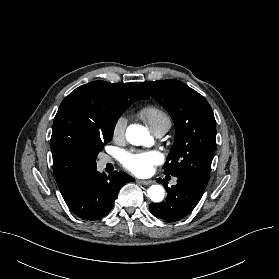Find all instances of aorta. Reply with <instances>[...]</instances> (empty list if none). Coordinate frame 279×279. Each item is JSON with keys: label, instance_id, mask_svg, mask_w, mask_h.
<instances>
[{"label": "aorta", "instance_id": "aorta-1", "mask_svg": "<svg viewBox=\"0 0 279 279\" xmlns=\"http://www.w3.org/2000/svg\"><path fill=\"white\" fill-rule=\"evenodd\" d=\"M126 138L133 145H144L149 139V133L147 129L140 125H130L126 130ZM148 197L153 202H160L164 198V188L161 185H152L147 190Z\"/></svg>", "mask_w": 279, "mask_h": 279}]
</instances>
